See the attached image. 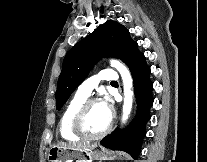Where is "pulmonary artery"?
I'll use <instances>...</instances> for the list:
<instances>
[{"mask_svg":"<svg viewBox=\"0 0 207 162\" xmlns=\"http://www.w3.org/2000/svg\"><path fill=\"white\" fill-rule=\"evenodd\" d=\"M117 75L109 70H103L99 75L90 77L81 83L77 89V93L89 97L92 91L98 86L100 80L107 81L108 83L116 82Z\"/></svg>","mask_w":207,"mask_h":162,"instance_id":"pulmonary-artery-1","label":"pulmonary artery"}]
</instances>
